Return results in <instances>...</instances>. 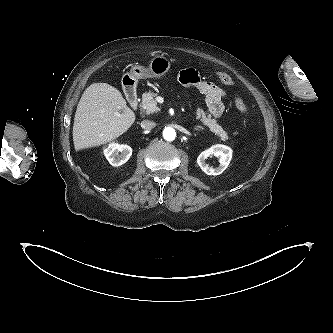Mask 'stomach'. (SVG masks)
<instances>
[{
	"label": "stomach",
	"instance_id": "stomach-1",
	"mask_svg": "<svg viewBox=\"0 0 333 333\" xmlns=\"http://www.w3.org/2000/svg\"><path fill=\"white\" fill-rule=\"evenodd\" d=\"M170 67V61L166 57L158 55L151 59L148 67L142 65L132 66L125 78L130 79L132 84H136L140 79L162 78Z\"/></svg>",
	"mask_w": 333,
	"mask_h": 333
}]
</instances>
